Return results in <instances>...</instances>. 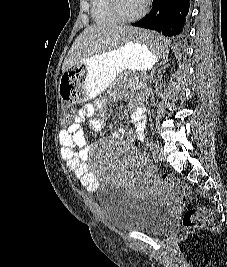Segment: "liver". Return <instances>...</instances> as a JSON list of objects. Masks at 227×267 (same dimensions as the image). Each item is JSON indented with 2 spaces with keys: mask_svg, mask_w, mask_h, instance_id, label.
Listing matches in <instances>:
<instances>
[{
  "mask_svg": "<svg viewBox=\"0 0 227 267\" xmlns=\"http://www.w3.org/2000/svg\"><path fill=\"white\" fill-rule=\"evenodd\" d=\"M141 32L142 30L136 27L130 30L128 25L93 24L88 26L69 50L62 72H66V68H70V64H75L77 61L117 49L131 40L129 33Z\"/></svg>",
  "mask_w": 227,
  "mask_h": 267,
  "instance_id": "1",
  "label": "liver"
}]
</instances>
